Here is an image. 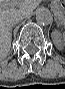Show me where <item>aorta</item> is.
<instances>
[{
    "label": "aorta",
    "mask_w": 65,
    "mask_h": 89,
    "mask_svg": "<svg viewBox=\"0 0 65 89\" xmlns=\"http://www.w3.org/2000/svg\"><path fill=\"white\" fill-rule=\"evenodd\" d=\"M52 13L48 8L41 7L36 11V21L40 25L47 26L52 23Z\"/></svg>",
    "instance_id": "aorta-1"
}]
</instances>
